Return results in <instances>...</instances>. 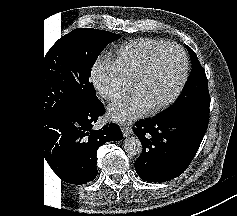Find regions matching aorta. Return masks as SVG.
Masks as SVG:
<instances>
[{
  "instance_id": "762f6f07",
  "label": "aorta",
  "mask_w": 237,
  "mask_h": 216,
  "mask_svg": "<svg viewBox=\"0 0 237 216\" xmlns=\"http://www.w3.org/2000/svg\"><path fill=\"white\" fill-rule=\"evenodd\" d=\"M123 148L125 152L133 156H138L142 153L143 145L138 137L133 136L124 140Z\"/></svg>"
}]
</instances>
